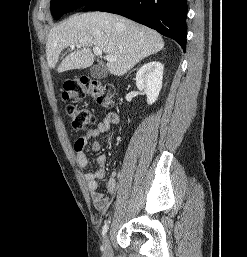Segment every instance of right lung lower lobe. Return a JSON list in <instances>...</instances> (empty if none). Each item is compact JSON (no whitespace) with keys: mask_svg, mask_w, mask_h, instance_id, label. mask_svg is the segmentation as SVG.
Wrapping results in <instances>:
<instances>
[{"mask_svg":"<svg viewBox=\"0 0 247 257\" xmlns=\"http://www.w3.org/2000/svg\"><path fill=\"white\" fill-rule=\"evenodd\" d=\"M83 10L122 15L174 39L186 50L187 0H93Z\"/></svg>","mask_w":247,"mask_h":257,"instance_id":"1","label":"right lung lower lobe"}]
</instances>
